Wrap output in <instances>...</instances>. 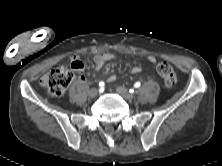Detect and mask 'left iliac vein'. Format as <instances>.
I'll use <instances>...</instances> for the list:
<instances>
[{"mask_svg": "<svg viewBox=\"0 0 222 166\" xmlns=\"http://www.w3.org/2000/svg\"><path fill=\"white\" fill-rule=\"evenodd\" d=\"M117 92L121 95V96H123L125 99H127V100H133V98H134V95L133 94H131L129 91H128V89H126L125 87H122V86H119V87H117Z\"/></svg>", "mask_w": 222, "mask_h": 166, "instance_id": "1", "label": "left iliac vein"}]
</instances>
